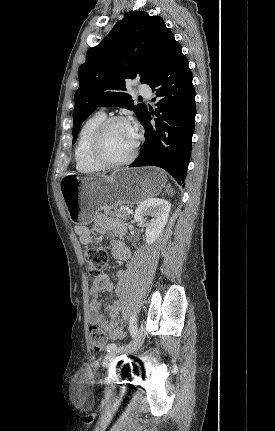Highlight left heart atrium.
<instances>
[{"instance_id":"1","label":"left heart atrium","mask_w":275,"mask_h":431,"mask_svg":"<svg viewBox=\"0 0 275 431\" xmlns=\"http://www.w3.org/2000/svg\"><path fill=\"white\" fill-rule=\"evenodd\" d=\"M130 128H131L132 136H133L134 140H136V138H137V129H136L135 126H130Z\"/></svg>"}]
</instances>
